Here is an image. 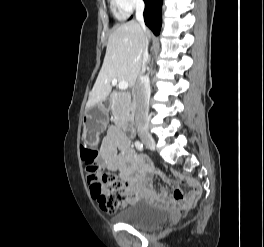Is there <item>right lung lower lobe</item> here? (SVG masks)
<instances>
[{"mask_svg": "<svg viewBox=\"0 0 264 247\" xmlns=\"http://www.w3.org/2000/svg\"><path fill=\"white\" fill-rule=\"evenodd\" d=\"M144 20L145 24L155 35H159L161 29V6L163 0H144Z\"/></svg>", "mask_w": 264, "mask_h": 247, "instance_id": "right-lung-lower-lobe-1", "label": "right lung lower lobe"}]
</instances>
